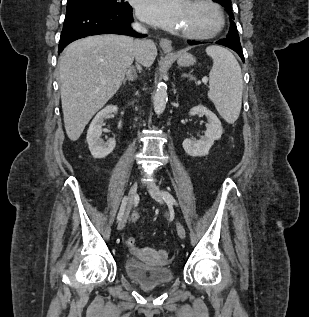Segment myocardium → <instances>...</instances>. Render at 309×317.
Returning <instances> with one entry per match:
<instances>
[{"mask_svg":"<svg viewBox=\"0 0 309 317\" xmlns=\"http://www.w3.org/2000/svg\"><path fill=\"white\" fill-rule=\"evenodd\" d=\"M191 3L204 5L212 10L215 16L214 26L207 31H182V36L193 40H206L217 36L224 28L225 18L220 6L213 0H191Z\"/></svg>","mask_w":309,"mask_h":317,"instance_id":"myocardium-1","label":"myocardium"}]
</instances>
